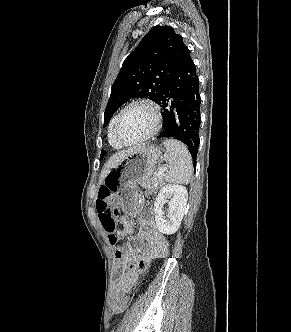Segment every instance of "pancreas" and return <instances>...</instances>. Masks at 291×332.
<instances>
[{
  "instance_id": "cf45deb5",
  "label": "pancreas",
  "mask_w": 291,
  "mask_h": 332,
  "mask_svg": "<svg viewBox=\"0 0 291 332\" xmlns=\"http://www.w3.org/2000/svg\"><path fill=\"white\" fill-rule=\"evenodd\" d=\"M164 184V178L163 176H153L149 179L143 180L140 182V186L152 190V191H157L159 187H161Z\"/></svg>"
}]
</instances>
